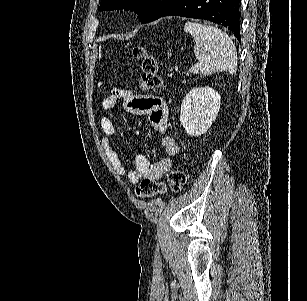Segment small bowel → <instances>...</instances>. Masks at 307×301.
<instances>
[{"mask_svg":"<svg viewBox=\"0 0 307 301\" xmlns=\"http://www.w3.org/2000/svg\"><path fill=\"white\" fill-rule=\"evenodd\" d=\"M119 102H122L125 109L133 114L148 115L153 128L162 135L161 145L166 157L152 164L145 154H139L135 158L134 168H127L111 145L116 133L115 124L110 118L103 117L100 121L101 144L110 163L121 177L132 183H137L144 178L160 179L172 168L171 157L175 156L179 150L174 138L167 134L168 108L165 101L154 95L137 94L126 89H113L102 101V109L110 111Z\"/></svg>","mask_w":307,"mask_h":301,"instance_id":"c3829d8e","label":"small bowel"}]
</instances>
